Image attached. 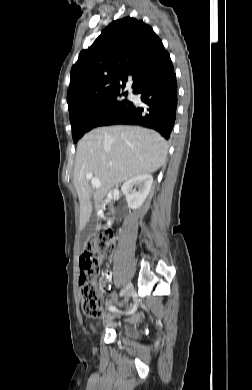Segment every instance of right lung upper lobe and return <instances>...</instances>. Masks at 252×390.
I'll list each match as a JSON object with an SVG mask.
<instances>
[{"label": "right lung upper lobe", "mask_w": 252, "mask_h": 390, "mask_svg": "<svg viewBox=\"0 0 252 390\" xmlns=\"http://www.w3.org/2000/svg\"><path fill=\"white\" fill-rule=\"evenodd\" d=\"M173 71L168 52L149 25L131 17L113 21L73 65L68 109L119 95L129 77L135 93L149 80Z\"/></svg>", "instance_id": "obj_1"}]
</instances>
